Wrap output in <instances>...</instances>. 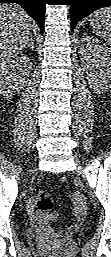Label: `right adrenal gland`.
<instances>
[{
    "instance_id": "obj_1",
    "label": "right adrenal gland",
    "mask_w": 111,
    "mask_h": 257,
    "mask_svg": "<svg viewBox=\"0 0 111 257\" xmlns=\"http://www.w3.org/2000/svg\"><path fill=\"white\" fill-rule=\"evenodd\" d=\"M30 47L31 49H34V42L32 37H30L29 43L26 45V48Z\"/></svg>"
}]
</instances>
